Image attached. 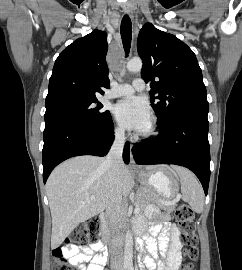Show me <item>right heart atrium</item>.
<instances>
[{"mask_svg":"<svg viewBox=\"0 0 242 270\" xmlns=\"http://www.w3.org/2000/svg\"><path fill=\"white\" fill-rule=\"evenodd\" d=\"M113 132H114V135L117 138H122L124 136V129L119 124H116V123L114 124V126H113Z\"/></svg>","mask_w":242,"mask_h":270,"instance_id":"1","label":"right heart atrium"}]
</instances>
